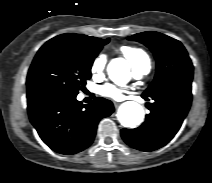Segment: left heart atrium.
Masks as SVG:
<instances>
[{"label":"left heart atrium","mask_w":212,"mask_h":183,"mask_svg":"<svg viewBox=\"0 0 212 183\" xmlns=\"http://www.w3.org/2000/svg\"><path fill=\"white\" fill-rule=\"evenodd\" d=\"M100 94L113 99H121L125 94V90L112 84H105L100 87Z\"/></svg>","instance_id":"left-heart-atrium-1"}]
</instances>
